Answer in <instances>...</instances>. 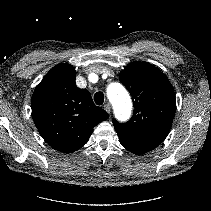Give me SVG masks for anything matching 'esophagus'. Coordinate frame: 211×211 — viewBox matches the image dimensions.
<instances>
[{"label":"esophagus","mask_w":211,"mask_h":211,"mask_svg":"<svg viewBox=\"0 0 211 211\" xmlns=\"http://www.w3.org/2000/svg\"><path fill=\"white\" fill-rule=\"evenodd\" d=\"M104 109H105V111L107 112V113H110L111 112V107H110V104H105L104 105Z\"/></svg>","instance_id":"esophagus-1"}]
</instances>
